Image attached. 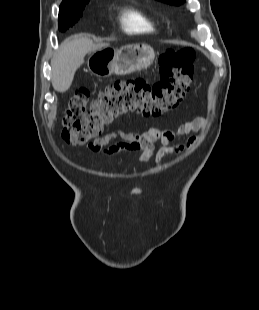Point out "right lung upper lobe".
<instances>
[{"label":"right lung upper lobe","mask_w":259,"mask_h":310,"mask_svg":"<svg viewBox=\"0 0 259 310\" xmlns=\"http://www.w3.org/2000/svg\"><path fill=\"white\" fill-rule=\"evenodd\" d=\"M86 0H63V2L60 5V9H68L75 7L76 5L80 4V2H83Z\"/></svg>","instance_id":"cb5924a9"}]
</instances>
